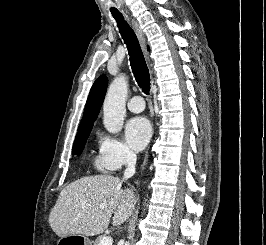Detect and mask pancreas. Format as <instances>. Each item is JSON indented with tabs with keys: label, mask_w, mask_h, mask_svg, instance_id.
Here are the masks:
<instances>
[{
	"label": "pancreas",
	"mask_w": 266,
	"mask_h": 245,
	"mask_svg": "<svg viewBox=\"0 0 266 245\" xmlns=\"http://www.w3.org/2000/svg\"><path fill=\"white\" fill-rule=\"evenodd\" d=\"M102 237H97L94 245H99L100 241H101Z\"/></svg>",
	"instance_id": "cf45deb5"
}]
</instances>
